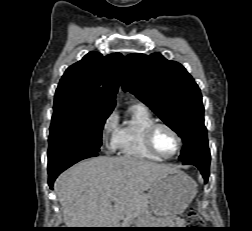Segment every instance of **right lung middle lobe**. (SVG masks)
<instances>
[{"instance_id":"obj_1","label":"right lung middle lobe","mask_w":252,"mask_h":231,"mask_svg":"<svg viewBox=\"0 0 252 231\" xmlns=\"http://www.w3.org/2000/svg\"><path fill=\"white\" fill-rule=\"evenodd\" d=\"M111 112L72 104H54L48 161L70 153L100 151L102 129Z\"/></svg>"}]
</instances>
